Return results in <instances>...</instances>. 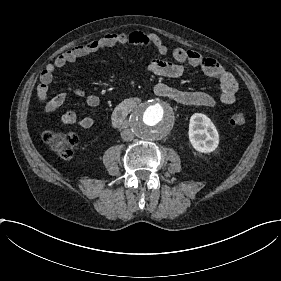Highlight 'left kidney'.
I'll list each match as a JSON object with an SVG mask.
<instances>
[{"instance_id": "left-kidney-1", "label": "left kidney", "mask_w": 281, "mask_h": 281, "mask_svg": "<svg viewBox=\"0 0 281 281\" xmlns=\"http://www.w3.org/2000/svg\"><path fill=\"white\" fill-rule=\"evenodd\" d=\"M189 140L195 150L203 153L214 151L219 144V135L210 118L195 113L190 118Z\"/></svg>"}]
</instances>
